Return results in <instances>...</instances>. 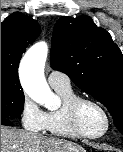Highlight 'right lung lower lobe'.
Here are the masks:
<instances>
[{"label": "right lung lower lobe", "instance_id": "obj_1", "mask_svg": "<svg viewBox=\"0 0 123 152\" xmlns=\"http://www.w3.org/2000/svg\"><path fill=\"white\" fill-rule=\"evenodd\" d=\"M1 125H12V123L8 119H1Z\"/></svg>", "mask_w": 123, "mask_h": 152}]
</instances>
